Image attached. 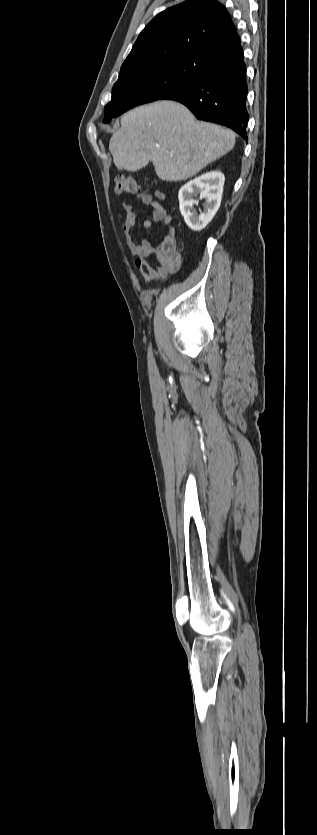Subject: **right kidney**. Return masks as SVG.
I'll return each instance as SVG.
<instances>
[{
	"instance_id": "right-kidney-1",
	"label": "right kidney",
	"mask_w": 317,
	"mask_h": 835,
	"mask_svg": "<svg viewBox=\"0 0 317 835\" xmlns=\"http://www.w3.org/2000/svg\"><path fill=\"white\" fill-rule=\"evenodd\" d=\"M225 177L219 171H211L190 180L179 190L180 212L189 228L200 231L213 219L221 203ZM205 199V209L199 214L193 209L194 197Z\"/></svg>"
}]
</instances>
